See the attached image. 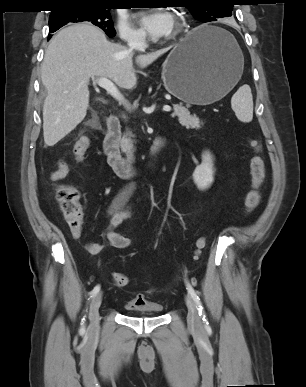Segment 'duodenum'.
I'll return each instance as SVG.
<instances>
[{
    "label": "duodenum",
    "instance_id": "duodenum-1",
    "mask_svg": "<svg viewBox=\"0 0 306 387\" xmlns=\"http://www.w3.org/2000/svg\"><path fill=\"white\" fill-rule=\"evenodd\" d=\"M120 135L121 125L118 117L110 116L107 120V133L103 141V151L113 171L121 178L131 179L136 176L137 168L132 158L125 157L121 153L119 146ZM164 145L165 140L162 137L156 138L153 142L148 159L150 167H154L156 158Z\"/></svg>",
    "mask_w": 306,
    "mask_h": 387
}]
</instances>
